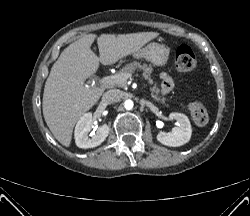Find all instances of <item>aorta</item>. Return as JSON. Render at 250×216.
Returning a JSON list of instances; mask_svg holds the SVG:
<instances>
[{"mask_svg": "<svg viewBox=\"0 0 250 216\" xmlns=\"http://www.w3.org/2000/svg\"><path fill=\"white\" fill-rule=\"evenodd\" d=\"M133 105H134V103H133V101L130 100V99H128V100H126V101L124 102V107H125V109H127V110H131V109L133 108Z\"/></svg>", "mask_w": 250, "mask_h": 216, "instance_id": "aorta-1", "label": "aorta"}]
</instances>
